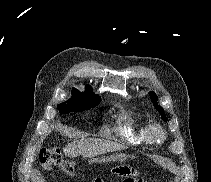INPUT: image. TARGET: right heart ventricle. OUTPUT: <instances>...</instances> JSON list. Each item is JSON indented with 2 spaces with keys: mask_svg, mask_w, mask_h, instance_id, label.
Wrapping results in <instances>:
<instances>
[{
  "mask_svg": "<svg viewBox=\"0 0 211 182\" xmlns=\"http://www.w3.org/2000/svg\"><path fill=\"white\" fill-rule=\"evenodd\" d=\"M147 123L141 119L131 116H123L119 126L120 134L125 140L132 144L148 143L145 136Z\"/></svg>",
  "mask_w": 211,
  "mask_h": 182,
  "instance_id": "e07e8e85",
  "label": "right heart ventricle"
}]
</instances>
